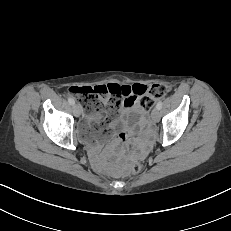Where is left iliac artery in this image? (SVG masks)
I'll return each mask as SVG.
<instances>
[{
	"instance_id": "44dca946",
	"label": "left iliac artery",
	"mask_w": 231,
	"mask_h": 231,
	"mask_svg": "<svg viewBox=\"0 0 231 231\" xmlns=\"http://www.w3.org/2000/svg\"><path fill=\"white\" fill-rule=\"evenodd\" d=\"M156 107L160 110L162 108V101H158Z\"/></svg>"
}]
</instances>
